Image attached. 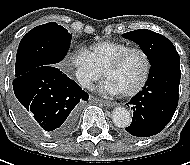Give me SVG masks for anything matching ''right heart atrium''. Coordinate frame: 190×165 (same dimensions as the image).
Masks as SVG:
<instances>
[{
	"label": "right heart atrium",
	"instance_id": "d8ad5b80",
	"mask_svg": "<svg viewBox=\"0 0 190 165\" xmlns=\"http://www.w3.org/2000/svg\"><path fill=\"white\" fill-rule=\"evenodd\" d=\"M69 64L79 84L84 88H91L101 79L103 71L96 65L88 49L80 47L69 56Z\"/></svg>",
	"mask_w": 190,
	"mask_h": 165
}]
</instances>
